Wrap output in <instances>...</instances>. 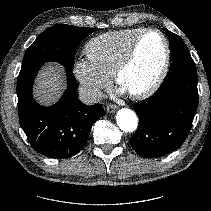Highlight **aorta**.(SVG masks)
<instances>
[{
    "label": "aorta",
    "instance_id": "1",
    "mask_svg": "<svg viewBox=\"0 0 211 211\" xmlns=\"http://www.w3.org/2000/svg\"><path fill=\"white\" fill-rule=\"evenodd\" d=\"M116 122L119 128L125 132H133L138 126L137 115L128 108H122L117 112Z\"/></svg>",
    "mask_w": 211,
    "mask_h": 211
}]
</instances>
